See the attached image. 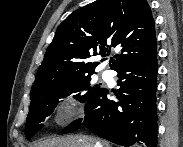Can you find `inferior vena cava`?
I'll return each instance as SVG.
<instances>
[{
	"label": "inferior vena cava",
	"mask_w": 183,
	"mask_h": 147,
	"mask_svg": "<svg viewBox=\"0 0 183 147\" xmlns=\"http://www.w3.org/2000/svg\"><path fill=\"white\" fill-rule=\"evenodd\" d=\"M96 147H98V146H100V145H98V143H97V145H95Z\"/></svg>",
	"instance_id": "602c4592"
}]
</instances>
